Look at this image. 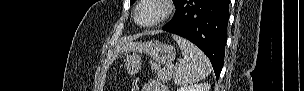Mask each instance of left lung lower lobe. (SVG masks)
<instances>
[{
    "label": "left lung lower lobe",
    "mask_w": 304,
    "mask_h": 91,
    "mask_svg": "<svg viewBox=\"0 0 304 91\" xmlns=\"http://www.w3.org/2000/svg\"><path fill=\"white\" fill-rule=\"evenodd\" d=\"M229 0H180L163 30L197 45L210 59L218 79L225 54Z\"/></svg>",
    "instance_id": "1"
}]
</instances>
